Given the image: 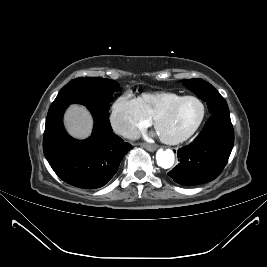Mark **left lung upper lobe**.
I'll return each instance as SVG.
<instances>
[{
	"instance_id": "1",
	"label": "left lung upper lobe",
	"mask_w": 267,
	"mask_h": 267,
	"mask_svg": "<svg viewBox=\"0 0 267 267\" xmlns=\"http://www.w3.org/2000/svg\"><path fill=\"white\" fill-rule=\"evenodd\" d=\"M183 84L207 103L210 113H229L226 101L208 82L202 79H186Z\"/></svg>"
}]
</instances>
